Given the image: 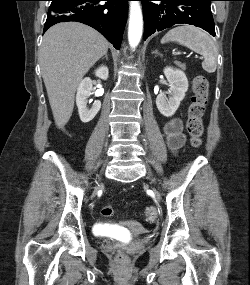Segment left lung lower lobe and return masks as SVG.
Masks as SVG:
<instances>
[{
	"instance_id": "left-lung-lower-lobe-1",
	"label": "left lung lower lobe",
	"mask_w": 250,
	"mask_h": 285,
	"mask_svg": "<svg viewBox=\"0 0 250 285\" xmlns=\"http://www.w3.org/2000/svg\"><path fill=\"white\" fill-rule=\"evenodd\" d=\"M144 16V40L156 31L175 24L200 27L215 36L212 0H140ZM151 1H160L159 4Z\"/></svg>"
}]
</instances>
